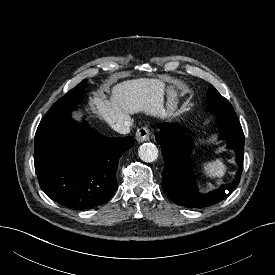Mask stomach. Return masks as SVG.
<instances>
[{"instance_id":"obj_1","label":"stomach","mask_w":275,"mask_h":275,"mask_svg":"<svg viewBox=\"0 0 275 275\" xmlns=\"http://www.w3.org/2000/svg\"><path fill=\"white\" fill-rule=\"evenodd\" d=\"M176 106V92L174 91V89H170L168 95L167 111L171 113L176 108Z\"/></svg>"}]
</instances>
